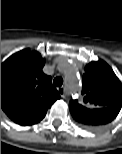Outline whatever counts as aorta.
Here are the masks:
<instances>
[{"mask_svg":"<svg viewBox=\"0 0 122 154\" xmlns=\"http://www.w3.org/2000/svg\"><path fill=\"white\" fill-rule=\"evenodd\" d=\"M63 72L66 78V84L68 89L71 92L79 91L81 87L80 80L79 77L77 76V71L73 66V64L66 62Z\"/></svg>","mask_w":122,"mask_h":154,"instance_id":"aorta-1","label":"aorta"}]
</instances>
